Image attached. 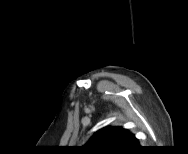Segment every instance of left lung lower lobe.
<instances>
[{
  "instance_id": "obj_1",
  "label": "left lung lower lobe",
  "mask_w": 188,
  "mask_h": 154,
  "mask_svg": "<svg viewBox=\"0 0 188 154\" xmlns=\"http://www.w3.org/2000/svg\"><path fill=\"white\" fill-rule=\"evenodd\" d=\"M135 146H138V140L136 138H135L133 145L131 147H135Z\"/></svg>"
}]
</instances>
